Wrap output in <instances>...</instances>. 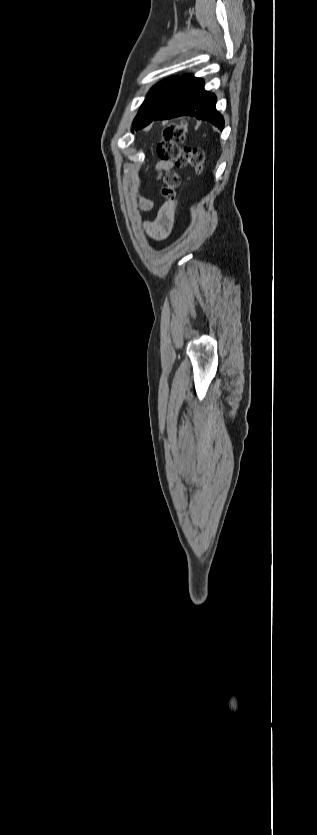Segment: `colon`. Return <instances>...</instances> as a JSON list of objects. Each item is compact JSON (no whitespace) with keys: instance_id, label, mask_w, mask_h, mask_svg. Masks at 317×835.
<instances>
[{"instance_id":"1","label":"colon","mask_w":317,"mask_h":835,"mask_svg":"<svg viewBox=\"0 0 317 835\" xmlns=\"http://www.w3.org/2000/svg\"><path fill=\"white\" fill-rule=\"evenodd\" d=\"M186 133L187 124L185 122L167 126L163 131L161 141L157 145V155L161 161L174 162L178 167L189 166L200 174L205 170L204 152L200 148L181 146ZM180 184L181 178L178 173L171 171L165 175L161 194L167 202H174Z\"/></svg>"}]
</instances>
